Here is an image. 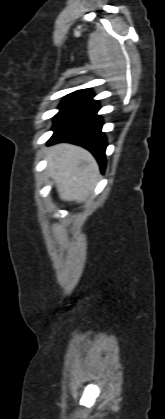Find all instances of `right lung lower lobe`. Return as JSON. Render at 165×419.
<instances>
[{"instance_id": "obj_1", "label": "right lung lower lobe", "mask_w": 165, "mask_h": 419, "mask_svg": "<svg viewBox=\"0 0 165 419\" xmlns=\"http://www.w3.org/2000/svg\"><path fill=\"white\" fill-rule=\"evenodd\" d=\"M93 95L84 97L62 109L54 118L55 131L50 143L69 142L88 149L96 157L101 170L105 168L106 137L101 132L102 118Z\"/></svg>"}]
</instances>
